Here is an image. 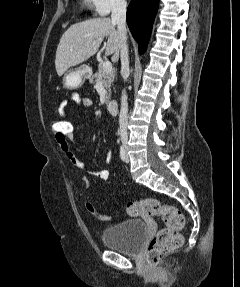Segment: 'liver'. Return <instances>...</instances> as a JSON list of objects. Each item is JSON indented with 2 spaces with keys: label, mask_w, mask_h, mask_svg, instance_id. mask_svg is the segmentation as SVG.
<instances>
[{
  "label": "liver",
  "mask_w": 240,
  "mask_h": 287,
  "mask_svg": "<svg viewBox=\"0 0 240 287\" xmlns=\"http://www.w3.org/2000/svg\"><path fill=\"white\" fill-rule=\"evenodd\" d=\"M115 27L116 24L107 17L89 19L70 26L62 35L56 51L55 68L58 76L93 56L105 37H108L105 54L112 55V60L116 62L121 41Z\"/></svg>",
  "instance_id": "obj_1"
}]
</instances>
